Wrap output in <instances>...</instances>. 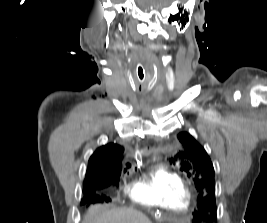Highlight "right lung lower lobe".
<instances>
[{
    "label": "right lung lower lobe",
    "instance_id": "right-lung-lower-lobe-1",
    "mask_svg": "<svg viewBox=\"0 0 267 223\" xmlns=\"http://www.w3.org/2000/svg\"><path fill=\"white\" fill-rule=\"evenodd\" d=\"M104 185H105V182L102 180H85L83 191L84 193L89 194V193L95 192L96 189L108 187Z\"/></svg>",
    "mask_w": 267,
    "mask_h": 223
}]
</instances>
